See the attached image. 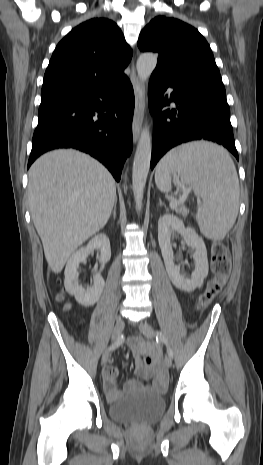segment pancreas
Here are the masks:
<instances>
[{
	"instance_id": "pancreas-1",
	"label": "pancreas",
	"mask_w": 263,
	"mask_h": 465,
	"mask_svg": "<svg viewBox=\"0 0 263 465\" xmlns=\"http://www.w3.org/2000/svg\"><path fill=\"white\" fill-rule=\"evenodd\" d=\"M174 210L183 217H186L189 213L188 209L183 204H179Z\"/></svg>"
}]
</instances>
